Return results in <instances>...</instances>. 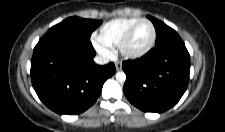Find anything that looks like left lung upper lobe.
<instances>
[{"instance_id": "obj_1", "label": "left lung upper lobe", "mask_w": 225, "mask_h": 132, "mask_svg": "<svg viewBox=\"0 0 225 132\" xmlns=\"http://www.w3.org/2000/svg\"><path fill=\"white\" fill-rule=\"evenodd\" d=\"M148 18L153 22L156 29L157 37H156L155 45H159L161 43L180 38L177 32L173 30L172 28H170L169 26H167L165 23L161 21L155 22L153 21L154 18L151 16H148Z\"/></svg>"}]
</instances>
